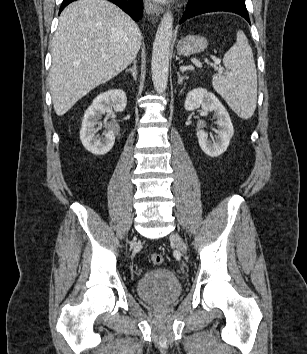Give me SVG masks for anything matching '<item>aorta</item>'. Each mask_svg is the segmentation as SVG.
Returning a JSON list of instances; mask_svg holds the SVG:
<instances>
[{
	"label": "aorta",
	"mask_w": 307,
	"mask_h": 354,
	"mask_svg": "<svg viewBox=\"0 0 307 354\" xmlns=\"http://www.w3.org/2000/svg\"><path fill=\"white\" fill-rule=\"evenodd\" d=\"M173 34V15L166 11L158 26L153 43L151 73L157 93L165 92L169 74V52Z\"/></svg>",
	"instance_id": "obj_1"
}]
</instances>
